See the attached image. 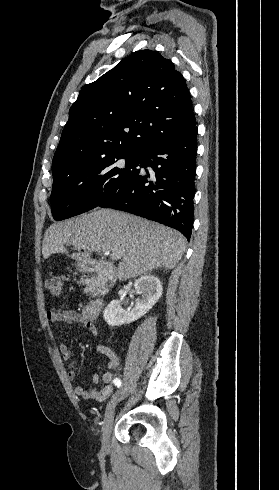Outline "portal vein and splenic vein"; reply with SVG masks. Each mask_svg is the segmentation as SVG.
I'll use <instances>...</instances> for the list:
<instances>
[{"instance_id": "1", "label": "portal vein and splenic vein", "mask_w": 279, "mask_h": 490, "mask_svg": "<svg viewBox=\"0 0 279 490\" xmlns=\"http://www.w3.org/2000/svg\"><path fill=\"white\" fill-rule=\"evenodd\" d=\"M104 256H109V252H106V254H104ZM112 260H116L115 256H111Z\"/></svg>"}]
</instances>
